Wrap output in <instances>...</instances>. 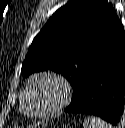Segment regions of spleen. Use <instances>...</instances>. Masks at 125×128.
Returning <instances> with one entry per match:
<instances>
[{
    "label": "spleen",
    "mask_w": 125,
    "mask_h": 128,
    "mask_svg": "<svg viewBox=\"0 0 125 128\" xmlns=\"http://www.w3.org/2000/svg\"><path fill=\"white\" fill-rule=\"evenodd\" d=\"M84 128H111V126L100 118L88 116L84 120Z\"/></svg>",
    "instance_id": "spleen-1"
}]
</instances>
